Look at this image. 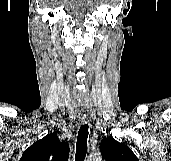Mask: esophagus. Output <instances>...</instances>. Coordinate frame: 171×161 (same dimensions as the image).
Returning <instances> with one entry per match:
<instances>
[{
  "label": "esophagus",
  "mask_w": 171,
  "mask_h": 161,
  "mask_svg": "<svg viewBox=\"0 0 171 161\" xmlns=\"http://www.w3.org/2000/svg\"><path fill=\"white\" fill-rule=\"evenodd\" d=\"M79 121L82 124H85L88 122V114L85 112H80L78 115Z\"/></svg>",
  "instance_id": "obj_1"
}]
</instances>
